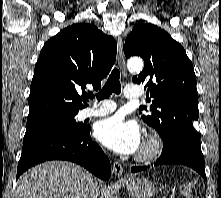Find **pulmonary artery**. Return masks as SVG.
<instances>
[{"instance_id": "1", "label": "pulmonary artery", "mask_w": 221, "mask_h": 198, "mask_svg": "<svg viewBox=\"0 0 221 198\" xmlns=\"http://www.w3.org/2000/svg\"><path fill=\"white\" fill-rule=\"evenodd\" d=\"M125 96L128 99H138L141 96L140 90L136 86L128 85L125 88ZM116 105L110 101H102L97 107L84 108L80 115L82 118L101 117L113 112Z\"/></svg>"}]
</instances>
